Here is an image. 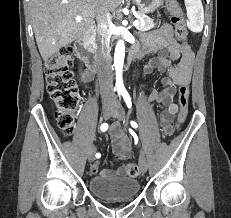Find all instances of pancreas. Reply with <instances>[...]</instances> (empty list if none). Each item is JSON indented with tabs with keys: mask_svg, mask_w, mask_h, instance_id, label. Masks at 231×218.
Segmentation results:
<instances>
[{
	"mask_svg": "<svg viewBox=\"0 0 231 218\" xmlns=\"http://www.w3.org/2000/svg\"><path fill=\"white\" fill-rule=\"evenodd\" d=\"M139 16L144 21V25L139 24L136 27L139 31H148L155 27V23L153 22V20L146 16L144 13L139 12Z\"/></svg>",
	"mask_w": 231,
	"mask_h": 218,
	"instance_id": "1",
	"label": "pancreas"
}]
</instances>
